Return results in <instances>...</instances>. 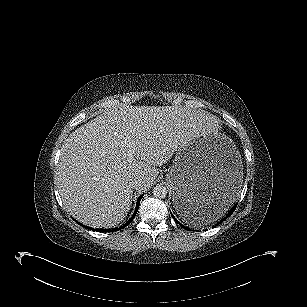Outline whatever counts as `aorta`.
Instances as JSON below:
<instances>
[{"mask_svg": "<svg viewBox=\"0 0 307 307\" xmlns=\"http://www.w3.org/2000/svg\"><path fill=\"white\" fill-rule=\"evenodd\" d=\"M153 195L155 198H158V199H163L166 197L167 195V189L165 186L163 185H156L154 188H153Z\"/></svg>", "mask_w": 307, "mask_h": 307, "instance_id": "obj_1", "label": "aorta"}]
</instances>
